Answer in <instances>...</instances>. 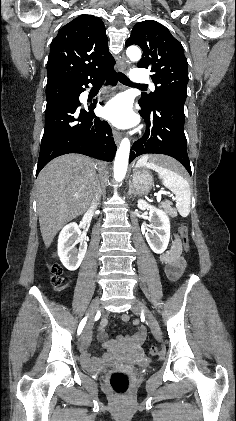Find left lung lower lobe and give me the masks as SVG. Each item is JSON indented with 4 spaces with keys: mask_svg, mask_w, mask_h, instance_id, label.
Listing matches in <instances>:
<instances>
[{
    "mask_svg": "<svg viewBox=\"0 0 236 421\" xmlns=\"http://www.w3.org/2000/svg\"><path fill=\"white\" fill-rule=\"evenodd\" d=\"M184 103L185 100L180 97L166 96L152 109L140 111L146 123V132L133 144L130 162L142 154H165L177 159L191 175L184 134Z\"/></svg>",
    "mask_w": 236,
    "mask_h": 421,
    "instance_id": "obj_1",
    "label": "left lung lower lobe"
}]
</instances>
